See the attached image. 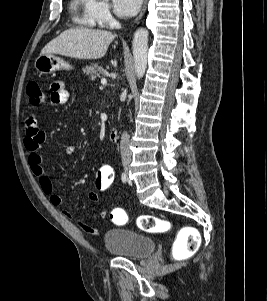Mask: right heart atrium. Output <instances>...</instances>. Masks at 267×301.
Masks as SVG:
<instances>
[{"label":"right heart atrium","mask_w":267,"mask_h":301,"mask_svg":"<svg viewBox=\"0 0 267 301\" xmlns=\"http://www.w3.org/2000/svg\"><path fill=\"white\" fill-rule=\"evenodd\" d=\"M89 19L101 27H110L114 22L109 4L105 0H89Z\"/></svg>","instance_id":"d8ad5b80"}]
</instances>
